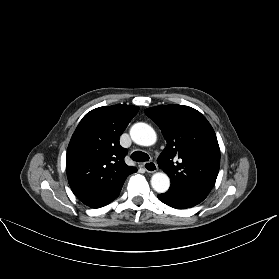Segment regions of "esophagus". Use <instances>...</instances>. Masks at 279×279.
<instances>
[{"mask_svg":"<svg viewBox=\"0 0 279 279\" xmlns=\"http://www.w3.org/2000/svg\"><path fill=\"white\" fill-rule=\"evenodd\" d=\"M144 169L149 173H154L158 170V167L155 162L147 161L143 164Z\"/></svg>","mask_w":279,"mask_h":279,"instance_id":"obj_1","label":"esophagus"}]
</instances>
